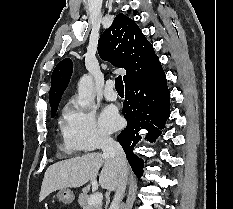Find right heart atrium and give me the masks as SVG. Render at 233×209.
I'll return each instance as SVG.
<instances>
[{"label": "right heart atrium", "instance_id": "d8ad5b80", "mask_svg": "<svg viewBox=\"0 0 233 209\" xmlns=\"http://www.w3.org/2000/svg\"><path fill=\"white\" fill-rule=\"evenodd\" d=\"M63 135L66 144L78 151H92L111 143L110 136L99 126L95 111L76 101L66 111Z\"/></svg>", "mask_w": 233, "mask_h": 209}]
</instances>
